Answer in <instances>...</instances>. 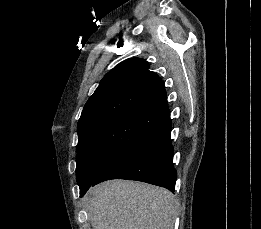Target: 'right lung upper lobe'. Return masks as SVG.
Segmentation results:
<instances>
[{"label": "right lung upper lobe", "instance_id": "obj_1", "mask_svg": "<svg viewBox=\"0 0 261 229\" xmlns=\"http://www.w3.org/2000/svg\"><path fill=\"white\" fill-rule=\"evenodd\" d=\"M148 69L130 58L104 76L82 111L78 145L134 147L138 130L154 131L169 117L162 80Z\"/></svg>", "mask_w": 261, "mask_h": 229}]
</instances>
